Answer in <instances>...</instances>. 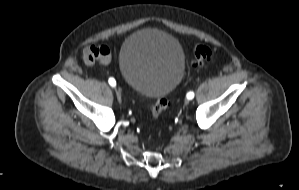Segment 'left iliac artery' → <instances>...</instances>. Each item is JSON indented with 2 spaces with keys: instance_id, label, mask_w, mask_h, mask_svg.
I'll return each instance as SVG.
<instances>
[{
  "instance_id": "44dca946",
  "label": "left iliac artery",
  "mask_w": 299,
  "mask_h": 190,
  "mask_svg": "<svg viewBox=\"0 0 299 190\" xmlns=\"http://www.w3.org/2000/svg\"><path fill=\"white\" fill-rule=\"evenodd\" d=\"M193 98H194V92H188L187 99H193Z\"/></svg>"
}]
</instances>
